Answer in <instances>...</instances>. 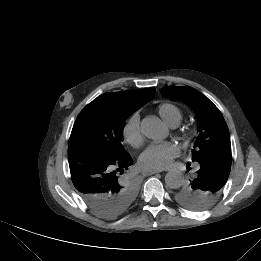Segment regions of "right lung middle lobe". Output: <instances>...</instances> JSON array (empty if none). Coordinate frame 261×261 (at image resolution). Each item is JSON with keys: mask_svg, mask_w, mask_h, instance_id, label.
Listing matches in <instances>:
<instances>
[{"mask_svg": "<svg viewBox=\"0 0 261 261\" xmlns=\"http://www.w3.org/2000/svg\"><path fill=\"white\" fill-rule=\"evenodd\" d=\"M127 117L117 108L96 98L77 116L69 139V146L86 144L104 155L125 157L129 154L121 142ZM136 194L135 180L125 176L116 190L103 193L93 204H86L96 215L103 218H114L131 205ZM112 199L116 200L114 207L107 208L106 203Z\"/></svg>", "mask_w": 261, "mask_h": 261, "instance_id": "obj_1", "label": "right lung middle lobe"}]
</instances>
